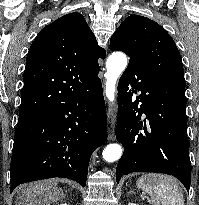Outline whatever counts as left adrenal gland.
I'll return each instance as SVG.
<instances>
[{
    "label": "left adrenal gland",
    "mask_w": 199,
    "mask_h": 205,
    "mask_svg": "<svg viewBox=\"0 0 199 205\" xmlns=\"http://www.w3.org/2000/svg\"><path fill=\"white\" fill-rule=\"evenodd\" d=\"M128 194H134V192H133L132 190H130V191L128 192Z\"/></svg>",
    "instance_id": "1"
}]
</instances>
